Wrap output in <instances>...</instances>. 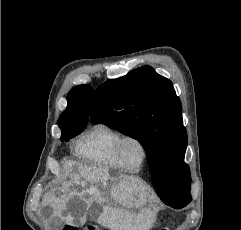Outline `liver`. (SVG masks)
I'll return each instance as SVG.
<instances>
[{"label": "liver", "instance_id": "obj_1", "mask_svg": "<svg viewBox=\"0 0 241 230\" xmlns=\"http://www.w3.org/2000/svg\"><path fill=\"white\" fill-rule=\"evenodd\" d=\"M75 165L77 169H74ZM70 171V181L62 185V199L54 194L43 196L42 203L52 207L54 216L60 217L68 225H73V215L70 212L63 215V211H67L68 200L76 197L85 204L82 223L86 221L87 211L96 202L102 207L96 222L103 227L110 230H149L153 227L156 212L147 206L151 197L147 189L137 184L132 177H111L106 168L75 163ZM109 181L118 183L111 185ZM88 183L89 187L86 188ZM76 186H81L82 190L77 191ZM103 192L109 193L111 201L104 198ZM135 208H138L139 212H135Z\"/></svg>", "mask_w": 241, "mask_h": 230}]
</instances>
